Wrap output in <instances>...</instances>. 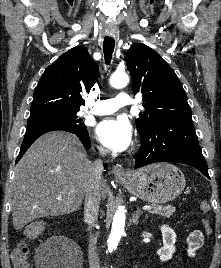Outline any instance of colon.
Returning a JSON list of instances; mask_svg holds the SVG:
<instances>
[{"instance_id": "obj_1", "label": "colon", "mask_w": 221, "mask_h": 268, "mask_svg": "<svg viewBox=\"0 0 221 268\" xmlns=\"http://www.w3.org/2000/svg\"><path fill=\"white\" fill-rule=\"evenodd\" d=\"M200 209L202 213L207 214L210 212V205L207 202H202L200 205ZM202 226L207 235H210L212 232L211 223L207 218L202 220ZM46 227V223L44 221H35L28 224L24 230L23 235L25 239H32L37 237ZM13 262L15 268H30V264L27 261V246L23 241L18 244L13 252Z\"/></svg>"}]
</instances>
